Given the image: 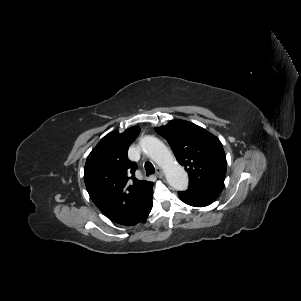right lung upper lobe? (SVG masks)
<instances>
[{"instance_id":"cb5924a9","label":"right lung upper lobe","mask_w":301,"mask_h":301,"mask_svg":"<svg viewBox=\"0 0 301 301\" xmlns=\"http://www.w3.org/2000/svg\"><path fill=\"white\" fill-rule=\"evenodd\" d=\"M140 129L111 132L89 154L84 180L94 204L110 220L125 224L141 208L153 183L134 177L136 163L127 160L130 144ZM132 179V181H130Z\"/></svg>"}]
</instances>
